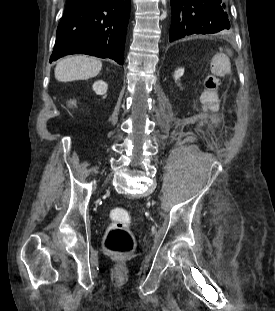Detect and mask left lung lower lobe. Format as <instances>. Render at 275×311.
Here are the masks:
<instances>
[{"label":"left lung lower lobe","instance_id":"1","mask_svg":"<svg viewBox=\"0 0 275 311\" xmlns=\"http://www.w3.org/2000/svg\"><path fill=\"white\" fill-rule=\"evenodd\" d=\"M172 23L169 41L195 34L228 30L230 23L224 0H170Z\"/></svg>","mask_w":275,"mask_h":311}]
</instances>
